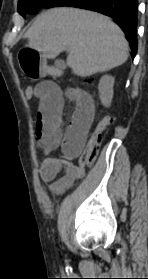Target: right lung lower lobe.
<instances>
[{
  "mask_svg": "<svg viewBox=\"0 0 148 279\" xmlns=\"http://www.w3.org/2000/svg\"><path fill=\"white\" fill-rule=\"evenodd\" d=\"M56 6H71L97 11L112 17L127 36L134 58L137 52V0H51L46 8Z\"/></svg>",
  "mask_w": 148,
  "mask_h": 279,
  "instance_id": "obj_1",
  "label": "right lung lower lobe"
}]
</instances>
